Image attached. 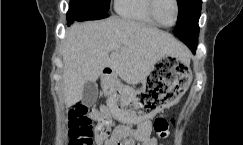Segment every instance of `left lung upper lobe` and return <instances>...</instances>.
<instances>
[{"mask_svg":"<svg viewBox=\"0 0 243 145\" xmlns=\"http://www.w3.org/2000/svg\"><path fill=\"white\" fill-rule=\"evenodd\" d=\"M177 3L178 19L186 18L191 24L198 25L202 0H177ZM174 33L176 36L182 33L178 25H176Z\"/></svg>","mask_w":243,"mask_h":145,"instance_id":"left-lung-upper-lobe-1","label":"left lung upper lobe"}]
</instances>
